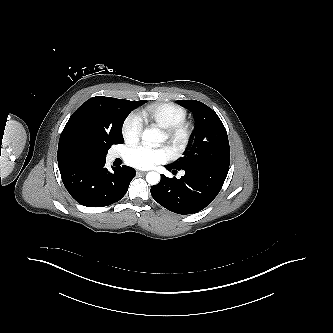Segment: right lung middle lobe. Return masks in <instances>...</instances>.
Wrapping results in <instances>:
<instances>
[{
  "label": "right lung middle lobe",
  "mask_w": 333,
  "mask_h": 333,
  "mask_svg": "<svg viewBox=\"0 0 333 333\" xmlns=\"http://www.w3.org/2000/svg\"><path fill=\"white\" fill-rule=\"evenodd\" d=\"M146 103V100L129 101L115 99L111 108V124L100 128L87 138L84 154L96 158L106 159L109 148L114 144L123 143L122 126L129 113L136 107Z\"/></svg>",
  "instance_id": "1"
}]
</instances>
